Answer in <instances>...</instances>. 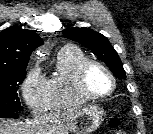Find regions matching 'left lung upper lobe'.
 I'll return each mask as SVG.
<instances>
[{"label": "left lung upper lobe", "instance_id": "left-lung-upper-lobe-1", "mask_svg": "<svg viewBox=\"0 0 153 134\" xmlns=\"http://www.w3.org/2000/svg\"><path fill=\"white\" fill-rule=\"evenodd\" d=\"M62 32L65 37L90 49L117 78L123 79L126 77L118 53L104 35L90 28H69Z\"/></svg>", "mask_w": 153, "mask_h": 134}]
</instances>
